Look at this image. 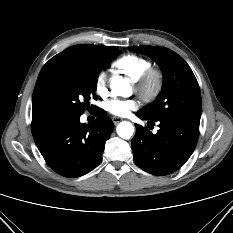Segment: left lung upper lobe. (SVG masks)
<instances>
[{"label":"left lung upper lobe","mask_w":233,"mask_h":233,"mask_svg":"<svg viewBox=\"0 0 233 233\" xmlns=\"http://www.w3.org/2000/svg\"><path fill=\"white\" fill-rule=\"evenodd\" d=\"M133 52L149 55L163 72V87L156 100L138 112L152 120L187 115L201 116V94L198 82L186 61L164 47L133 46Z\"/></svg>","instance_id":"left-lung-upper-lobe-1"}]
</instances>
